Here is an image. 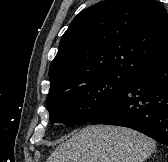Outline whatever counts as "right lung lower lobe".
Instances as JSON below:
<instances>
[{"instance_id":"right-lung-lower-lobe-1","label":"right lung lower lobe","mask_w":168,"mask_h":162,"mask_svg":"<svg viewBox=\"0 0 168 162\" xmlns=\"http://www.w3.org/2000/svg\"><path fill=\"white\" fill-rule=\"evenodd\" d=\"M91 124L129 127L168 146V59L134 73Z\"/></svg>"}]
</instances>
